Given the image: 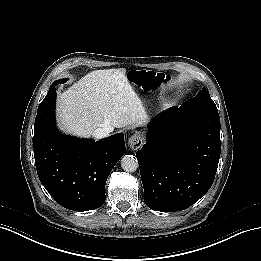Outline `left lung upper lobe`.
<instances>
[{"label": "left lung upper lobe", "mask_w": 261, "mask_h": 261, "mask_svg": "<svg viewBox=\"0 0 261 261\" xmlns=\"http://www.w3.org/2000/svg\"><path fill=\"white\" fill-rule=\"evenodd\" d=\"M193 99H196L198 101H201V102H205V103H208V104H212V105H215V103L212 101V99L210 98L209 96V93L207 90L205 89H202L195 98Z\"/></svg>", "instance_id": "obj_1"}]
</instances>
